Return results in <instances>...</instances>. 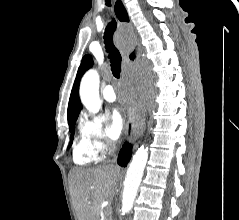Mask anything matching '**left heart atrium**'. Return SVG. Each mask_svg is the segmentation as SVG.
Segmentation results:
<instances>
[{
  "instance_id": "obj_1",
  "label": "left heart atrium",
  "mask_w": 239,
  "mask_h": 220,
  "mask_svg": "<svg viewBox=\"0 0 239 220\" xmlns=\"http://www.w3.org/2000/svg\"><path fill=\"white\" fill-rule=\"evenodd\" d=\"M122 103L127 101V96L125 94L121 95ZM125 125V120L120 113L119 109H116L111 114V121L108 127V136L112 139H117L123 131Z\"/></svg>"
}]
</instances>
